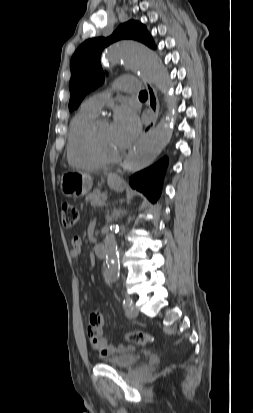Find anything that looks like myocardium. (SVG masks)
Wrapping results in <instances>:
<instances>
[{"label": "myocardium", "instance_id": "myocardium-1", "mask_svg": "<svg viewBox=\"0 0 253 413\" xmlns=\"http://www.w3.org/2000/svg\"><path fill=\"white\" fill-rule=\"evenodd\" d=\"M105 123H108V120L105 118H96L93 121L88 129L87 142L91 154L98 162L101 164H112L121 158L122 152L119 150L113 154H107L101 149L98 143L97 134L100 126Z\"/></svg>", "mask_w": 253, "mask_h": 413}]
</instances>
